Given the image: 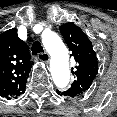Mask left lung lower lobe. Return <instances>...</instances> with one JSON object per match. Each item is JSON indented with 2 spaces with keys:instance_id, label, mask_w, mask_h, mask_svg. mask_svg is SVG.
Segmentation results:
<instances>
[{
  "instance_id": "0a47b994",
  "label": "left lung lower lobe",
  "mask_w": 117,
  "mask_h": 117,
  "mask_svg": "<svg viewBox=\"0 0 117 117\" xmlns=\"http://www.w3.org/2000/svg\"><path fill=\"white\" fill-rule=\"evenodd\" d=\"M60 96H65V92L57 91Z\"/></svg>"
}]
</instances>
